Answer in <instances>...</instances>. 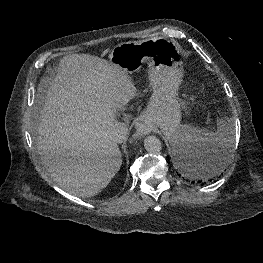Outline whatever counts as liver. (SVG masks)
Listing matches in <instances>:
<instances>
[{
    "mask_svg": "<svg viewBox=\"0 0 263 263\" xmlns=\"http://www.w3.org/2000/svg\"><path fill=\"white\" fill-rule=\"evenodd\" d=\"M47 82L37 138L42 163L63 190L93 197L122 165L111 130L118 109L136 96L135 84L120 67L84 53L63 57L40 89Z\"/></svg>",
    "mask_w": 263,
    "mask_h": 263,
    "instance_id": "obj_1",
    "label": "liver"
}]
</instances>
